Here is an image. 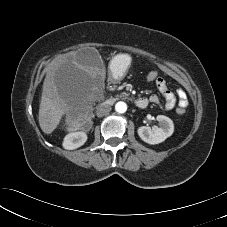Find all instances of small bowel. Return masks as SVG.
<instances>
[{"label": "small bowel", "instance_id": "1", "mask_svg": "<svg viewBox=\"0 0 227 227\" xmlns=\"http://www.w3.org/2000/svg\"><path fill=\"white\" fill-rule=\"evenodd\" d=\"M155 83H156L158 90L163 95L165 102L163 104H161L159 97L154 94L149 97V101L153 104L161 105V107L166 110L173 109L176 105L177 100H176L175 95L168 88L166 81L163 78L158 77V79L155 81ZM177 96H178V108L185 109L188 106V100H187L186 93L183 90L179 89L177 91Z\"/></svg>", "mask_w": 227, "mask_h": 227}]
</instances>
